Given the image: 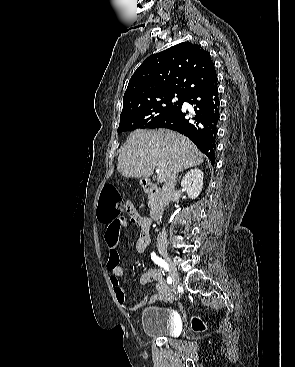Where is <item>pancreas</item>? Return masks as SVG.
I'll use <instances>...</instances> for the list:
<instances>
[{
    "label": "pancreas",
    "instance_id": "1",
    "mask_svg": "<svg viewBox=\"0 0 295 367\" xmlns=\"http://www.w3.org/2000/svg\"><path fill=\"white\" fill-rule=\"evenodd\" d=\"M148 199H149L148 206H153L154 201H155V197L153 195L149 194Z\"/></svg>",
    "mask_w": 295,
    "mask_h": 367
}]
</instances>
